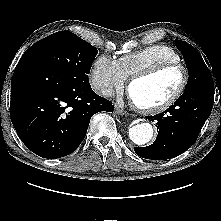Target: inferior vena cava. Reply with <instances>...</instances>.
I'll return each mask as SVG.
<instances>
[{
  "mask_svg": "<svg viewBox=\"0 0 221 221\" xmlns=\"http://www.w3.org/2000/svg\"><path fill=\"white\" fill-rule=\"evenodd\" d=\"M100 93L103 96L110 97L113 93V89L109 85H104V86L101 87Z\"/></svg>",
  "mask_w": 221,
  "mask_h": 221,
  "instance_id": "1",
  "label": "inferior vena cava"
}]
</instances>
